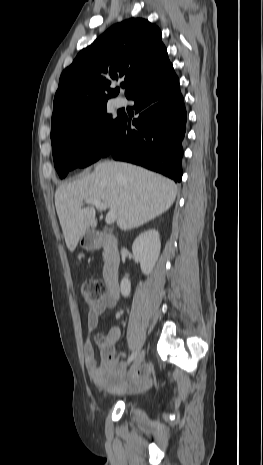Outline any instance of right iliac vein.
I'll list each match as a JSON object with an SVG mask.
<instances>
[{
    "mask_svg": "<svg viewBox=\"0 0 263 465\" xmlns=\"http://www.w3.org/2000/svg\"><path fill=\"white\" fill-rule=\"evenodd\" d=\"M144 357H145V350H142L141 352L138 353V355L136 356L133 364L131 365L130 369H129V372L128 374H131L133 371H135L139 366L140 364L143 362L144 360Z\"/></svg>",
    "mask_w": 263,
    "mask_h": 465,
    "instance_id": "obj_1",
    "label": "right iliac vein"
}]
</instances>
